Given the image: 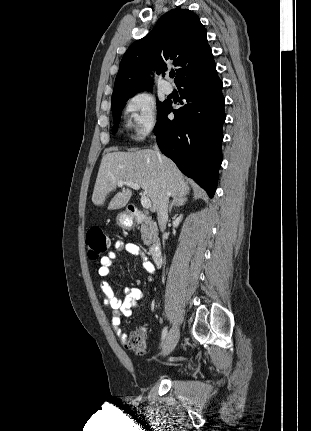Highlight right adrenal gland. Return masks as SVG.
I'll return each instance as SVG.
<instances>
[{"mask_svg":"<svg viewBox=\"0 0 311 431\" xmlns=\"http://www.w3.org/2000/svg\"><path fill=\"white\" fill-rule=\"evenodd\" d=\"M172 198L173 200L169 206V214H171L173 206L180 208V206H186V202H188V198H185V196H172Z\"/></svg>","mask_w":311,"mask_h":431,"instance_id":"1","label":"right adrenal gland"}]
</instances>
